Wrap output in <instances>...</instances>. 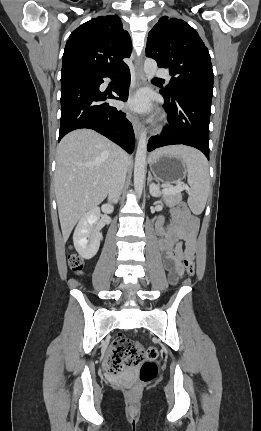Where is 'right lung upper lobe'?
Listing matches in <instances>:
<instances>
[{
    "label": "right lung upper lobe",
    "instance_id": "cb5924a9",
    "mask_svg": "<svg viewBox=\"0 0 261 431\" xmlns=\"http://www.w3.org/2000/svg\"><path fill=\"white\" fill-rule=\"evenodd\" d=\"M131 39L117 15L99 16L69 36L62 57V74L72 71L104 72L126 66Z\"/></svg>",
    "mask_w": 261,
    "mask_h": 431
}]
</instances>
